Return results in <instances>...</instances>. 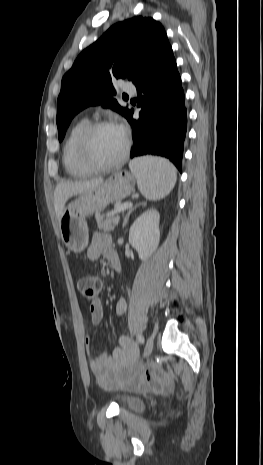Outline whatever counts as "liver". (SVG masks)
Here are the masks:
<instances>
[{
  "instance_id": "6515ba94",
  "label": "liver",
  "mask_w": 263,
  "mask_h": 465,
  "mask_svg": "<svg viewBox=\"0 0 263 465\" xmlns=\"http://www.w3.org/2000/svg\"><path fill=\"white\" fill-rule=\"evenodd\" d=\"M103 181L102 178H98L76 182H61L57 184L54 191V207L58 221L70 197L98 187Z\"/></svg>"
}]
</instances>
